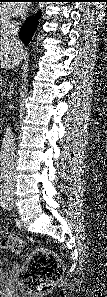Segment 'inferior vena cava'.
Returning <instances> with one entry per match:
<instances>
[{
	"label": "inferior vena cava",
	"mask_w": 107,
	"mask_h": 297,
	"mask_svg": "<svg viewBox=\"0 0 107 297\" xmlns=\"http://www.w3.org/2000/svg\"><path fill=\"white\" fill-rule=\"evenodd\" d=\"M19 23L10 21L8 17H5L1 22L0 35L8 38L12 44H19L18 39ZM1 153V171L3 176L11 182L14 175V139L13 133L9 127L6 128V134L4 135L2 142Z\"/></svg>",
	"instance_id": "obj_1"
}]
</instances>
